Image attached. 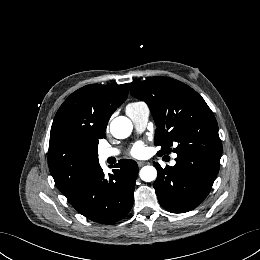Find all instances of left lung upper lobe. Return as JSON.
<instances>
[{"label":"left lung upper lobe","instance_id":"obj_1","mask_svg":"<svg viewBox=\"0 0 260 260\" xmlns=\"http://www.w3.org/2000/svg\"><path fill=\"white\" fill-rule=\"evenodd\" d=\"M132 96L147 103L155 120L158 155L187 151L222 153L216 119L204 99L191 87L168 77L130 83Z\"/></svg>","mask_w":260,"mask_h":260}]
</instances>
